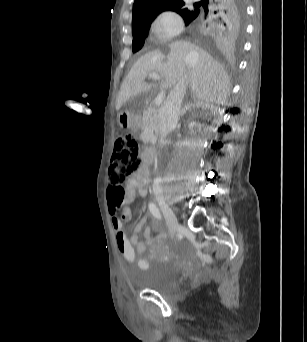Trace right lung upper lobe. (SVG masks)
Segmentation results:
<instances>
[{"label": "right lung upper lobe", "instance_id": "right-lung-upper-lobe-1", "mask_svg": "<svg viewBox=\"0 0 307 342\" xmlns=\"http://www.w3.org/2000/svg\"><path fill=\"white\" fill-rule=\"evenodd\" d=\"M178 12L185 24H192L205 38L224 40L231 23L240 10L238 0H203L201 5L189 10L183 0H135L133 5L132 34L147 32L155 17L165 11Z\"/></svg>", "mask_w": 307, "mask_h": 342}]
</instances>
